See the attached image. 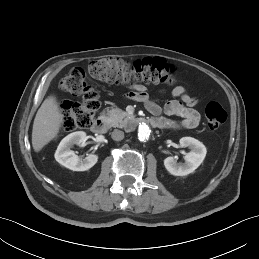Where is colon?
I'll list each match as a JSON object with an SVG mask.
<instances>
[{
  "label": "colon",
  "mask_w": 259,
  "mask_h": 259,
  "mask_svg": "<svg viewBox=\"0 0 259 259\" xmlns=\"http://www.w3.org/2000/svg\"><path fill=\"white\" fill-rule=\"evenodd\" d=\"M90 77L112 84H166L174 83L172 67L161 59H144L129 63L121 58L108 57L95 60L85 68L70 70L60 82V88L79 98L62 106V127L66 131L87 128L100 107L97 91L87 82ZM206 125L217 130L226 121L227 114L216 101L205 107Z\"/></svg>",
  "instance_id": "1"
}]
</instances>
